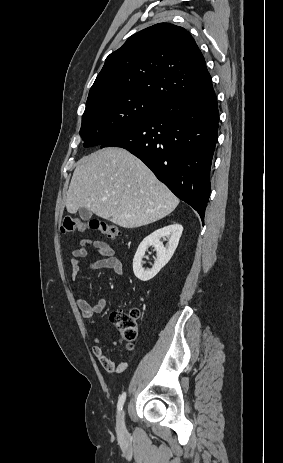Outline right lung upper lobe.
<instances>
[{
  "label": "right lung upper lobe",
  "mask_w": 283,
  "mask_h": 463,
  "mask_svg": "<svg viewBox=\"0 0 283 463\" xmlns=\"http://www.w3.org/2000/svg\"><path fill=\"white\" fill-rule=\"evenodd\" d=\"M210 88L205 59L190 33L159 23L135 33L106 58L87 101L128 92L161 104Z\"/></svg>",
  "instance_id": "cb5924a9"
}]
</instances>
